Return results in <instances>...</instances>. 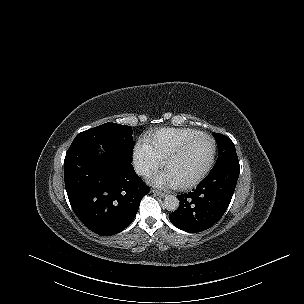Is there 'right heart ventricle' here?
I'll return each mask as SVG.
<instances>
[{
	"label": "right heart ventricle",
	"mask_w": 304,
	"mask_h": 304,
	"mask_svg": "<svg viewBox=\"0 0 304 304\" xmlns=\"http://www.w3.org/2000/svg\"><path fill=\"white\" fill-rule=\"evenodd\" d=\"M201 134L192 128L164 127L152 131L147 139V145L160 159L166 158L174 149L191 138Z\"/></svg>",
	"instance_id": "e07e8e85"
}]
</instances>
